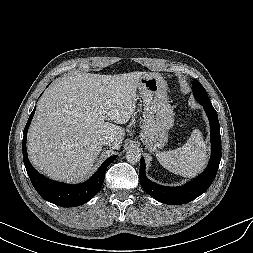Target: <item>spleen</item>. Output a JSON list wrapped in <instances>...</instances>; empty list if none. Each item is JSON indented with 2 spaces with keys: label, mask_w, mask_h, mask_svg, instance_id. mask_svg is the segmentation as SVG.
Returning <instances> with one entry per match:
<instances>
[{
  "label": "spleen",
  "mask_w": 253,
  "mask_h": 253,
  "mask_svg": "<svg viewBox=\"0 0 253 253\" xmlns=\"http://www.w3.org/2000/svg\"><path fill=\"white\" fill-rule=\"evenodd\" d=\"M156 156L160 164L170 172L183 177H193L206 164L207 147L201 132L195 129L182 147L159 152Z\"/></svg>",
  "instance_id": "3e777b00"
}]
</instances>
